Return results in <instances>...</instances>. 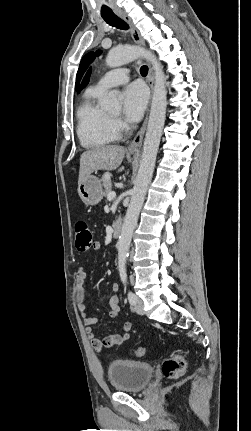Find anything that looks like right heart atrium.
Returning <instances> with one entry per match:
<instances>
[{"label": "right heart atrium", "instance_id": "obj_1", "mask_svg": "<svg viewBox=\"0 0 251 431\" xmlns=\"http://www.w3.org/2000/svg\"><path fill=\"white\" fill-rule=\"evenodd\" d=\"M114 125H115L117 130H123L126 128L125 123L121 120H114Z\"/></svg>", "mask_w": 251, "mask_h": 431}]
</instances>
